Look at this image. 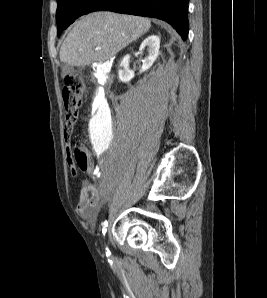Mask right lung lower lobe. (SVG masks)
<instances>
[{
  "label": "right lung lower lobe",
  "mask_w": 267,
  "mask_h": 298,
  "mask_svg": "<svg viewBox=\"0 0 267 298\" xmlns=\"http://www.w3.org/2000/svg\"><path fill=\"white\" fill-rule=\"evenodd\" d=\"M158 18L168 22L186 40L188 34V0H99L94 11Z\"/></svg>",
  "instance_id": "right-lung-lower-lobe-1"
}]
</instances>
